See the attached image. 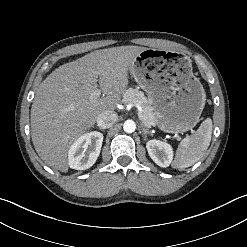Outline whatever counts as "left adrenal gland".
I'll use <instances>...</instances> for the list:
<instances>
[{
  "mask_svg": "<svg viewBox=\"0 0 247 247\" xmlns=\"http://www.w3.org/2000/svg\"><path fill=\"white\" fill-rule=\"evenodd\" d=\"M141 128H142V135L144 137V139H146L147 134L152 135V133L149 131V129H147L143 123H141Z\"/></svg>",
  "mask_w": 247,
  "mask_h": 247,
  "instance_id": "1",
  "label": "left adrenal gland"
}]
</instances>
